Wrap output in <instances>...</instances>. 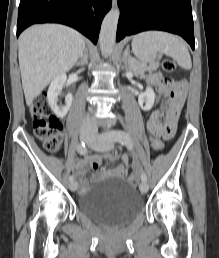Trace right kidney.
I'll return each instance as SVG.
<instances>
[{
    "label": "right kidney",
    "instance_id": "ca27d5eb",
    "mask_svg": "<svg viewBox=\"0 0 219 258\" xmlns=\"http://www.w3.org/2000/svg\"><path fill=\"white\" fill-rule=\"evenodd\" d=\"M66 79H67V76L65 74H61L56 78H54L47 92L48 103L51 106L55 115L59 118H63L67 115L73 99L72 94H67L65 96V105L64 106L57 105L58 96L62 92V88L66 82Z\"/></svg>",
    "mask_w": 219,
    "mask_h": 258
}]
</instances>
